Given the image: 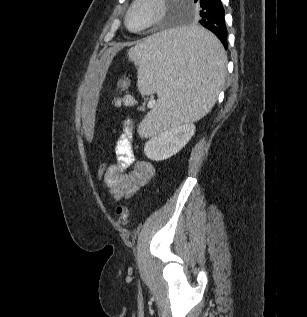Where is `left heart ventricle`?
Instances as JSON below:
<instances>
[{"label": "left heart ventricle", "mask_w": 307, "mask_h": 317, "mask_svg": "<svg viewBox=\"0 0 307 317\" xmlns=\"http://www.w3.org/2000/svg\"><path fill=\"white\" fill-rule=\"evenodd\" d=\"M151 15V9L148 6H140L136 9L131 17V24L133 26H139L145 22Z\"/></svg>", "instance_id": "1"}]
</instances>
